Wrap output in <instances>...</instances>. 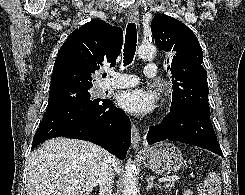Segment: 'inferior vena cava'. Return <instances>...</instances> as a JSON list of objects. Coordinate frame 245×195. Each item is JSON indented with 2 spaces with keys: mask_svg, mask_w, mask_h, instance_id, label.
Listing matches in <instances>:
<instances>
[{
  "mask_svg": "<svg viewBox=\"0 0 245 195\" xmlns=\"http://www.w3.org/2000/svg\"><path fill=\"white\" fill-rule=\"evenodd\" d=\"M97 183L100 186L99 195H112L114 172L111 164L110 154H108L102 163Z\"/></svg>",
  "mask_w": 245,
  "mask_h": 195,
  "instance_id": "inferior-vena-cava-1",
  "label": "inferior vena cava"
}]
</instances>
